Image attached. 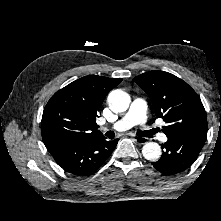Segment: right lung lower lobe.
<instances>
[{
    "instance_id": "obj_1",
    "label": "right lung lower lobe",
    "mask_w": 221,
    "mask_h": 221,
    "mask_svg": "<svg viewBox=\"0 0 221 221\" xmlns=\"http://www.w3.org/2000/svg\"><path fill=\"white\" fill-rule=\"evenodd\" d=\"M118 139L107 141L102 135L94 138L61 140L45 144L59 166L76 176L95 173L107 160Z\"/></svg>"
}]
</instances>
